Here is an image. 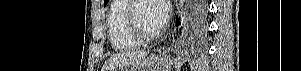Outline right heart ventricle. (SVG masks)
Masks as SVG:
<instances>
[{
  "mask_svg": "<svg viewBox=\"0 0 301 71\" xmlns=\"http://www.w3.org/2000/svg\"><path fill=\"white\" fill-rule=\"evenodd\" d=\"M130 0H115L111 3L107 16V32L111 46L115 50H130L140 45L127 29L125 15Z\"/></svg>",
  "mask_w": 301,
  "mask_h": 71,
  "instance_id": "right-heart-ventricle-1",
  "label": "right heart ventricle"
}]
</instances>
